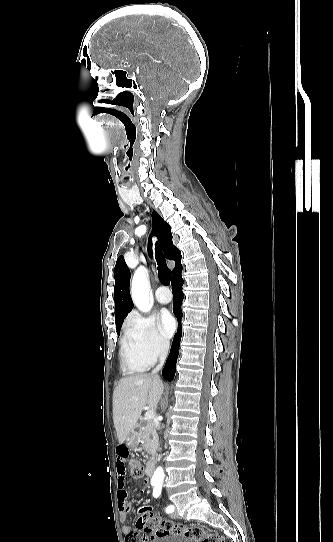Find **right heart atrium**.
Instances as JSON below:
<instances>
[{
    "label": "right heart atrium",
    "mask_w": 333,
    "mask_h": 542,
    "mask_svg": "<svg viewBox=\"0 0 333 542\" xmlns=\"http://www.w3.org/2000/svg\"><path fill=\"white\" fill-rule=\"evenodd\" d=\"M125 339L142 348L153 358L164 357L170 349V338L153 317L134 315L125 328Z\"/></svg>",
    "instance_id": "right-heart-atrium-1"
}]
</instances>
